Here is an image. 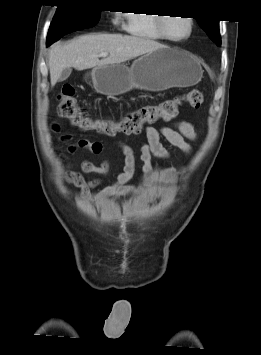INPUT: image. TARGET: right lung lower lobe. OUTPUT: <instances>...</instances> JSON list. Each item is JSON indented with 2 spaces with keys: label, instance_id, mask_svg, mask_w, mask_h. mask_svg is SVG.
Listing matches in <instances>:
<instances>
[{
  "label": "right lung lower lobe",
  "instance_id": "98d812e1",
  "mask_svg": "<svg viewBox=\"0 0 261 355\" xmlns=\"http://www.w3.org/2000/svg\"><path fill=\"white\" fill-rule=\"evenodd\" d=\"M61 37H58V38L52 39V40H47V46H50L52 43H54L55 41L59 40Z\"/></svg>",
  "mask_w": 261,
  "mask_h": 355
}]
</instances>
